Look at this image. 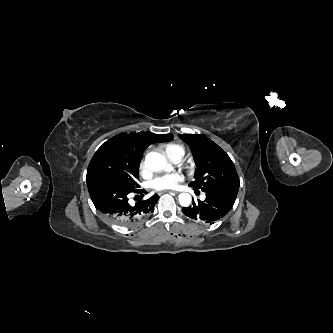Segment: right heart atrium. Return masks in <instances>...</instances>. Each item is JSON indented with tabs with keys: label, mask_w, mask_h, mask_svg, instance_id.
Returning a JSON list of instances; mask_svg holds the SVG:
<instances>
[{
	"label": "right heart atrium",
	"mask_w": 333,
	"mask_h": 333,
	"mask_svg": "<svg viewBox=\"0 0 333 333\" xmlns=\"http://www.w3.org/2000/svg\"><path fill=\"white\" fill-rule=\"evenodd\" d=\"M140 167H141V169H143V168H144V164H143V163H141Z\"/></svg>",
	"instance_id": "d8ad5b80"
}]
</instances>
